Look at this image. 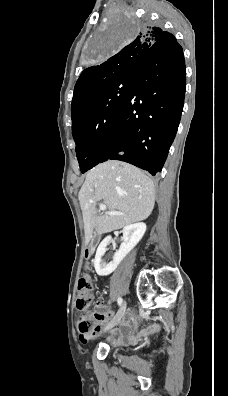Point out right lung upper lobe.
<instances>
[{"label":"right lung upper lobe","mask_w":228,"mask_h":396,"mask_svg":"<svg viewBox=\"0 0 228 396\" xmlns=\"http://www.w3.org/2000/svg\"><path fill=\"white\" fill-rule=\"evenodd\" d=\"M176 38L158 27L146 26L118 53L81 73L74 88L71 115L75 118L87 102L112 81L133 76L142 59L153 50H169Z\"/></svg>","instance_id":"cb5924a9"}]
</instances>
